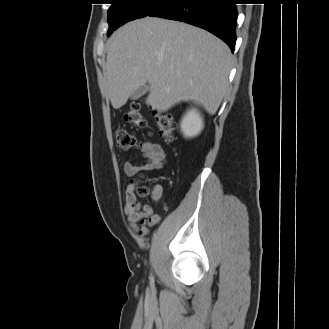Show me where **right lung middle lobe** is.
Returning a JSON list of instances; mask_svg holds the SVG:
<instances>
[{
  "label": "right lung middle lobe",
  "mask_w": 329,
  "mask_h": 329,
  "mask_svg": "<svg viewBox=\"0 0 329 329\" xmlns=\"http://www.w3.org/2000/svg\"><path fill=\"white\" fill-rule=\"evenodd\" d=\"M108 10L109 36L114 30L124 23L149 16L154 11L172 0H110Z\"/></svg>",
  "instance_id": "obj_1"
}]
</instances>
